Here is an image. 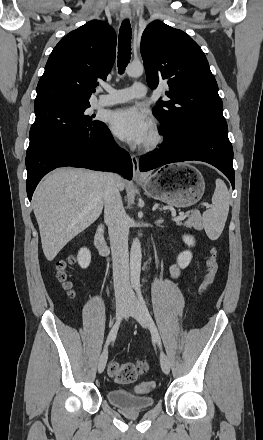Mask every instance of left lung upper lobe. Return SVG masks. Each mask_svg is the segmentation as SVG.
I'll list each match as a JSON object with an SVG mask.
<instances>
[{"label": "left lung upper lobe", "instance_id": "obj_1", "mask_svg": "<svg viewBox=\"0 0 263 440\" xmlns=\"http://www.w3.org/2000/svg\"><path fill=\"white\" fill-rule=\"evenodd\" d=\"M141 55L149 86L161 81L169 86V100L159 101L153 113L163 128L179 134L181 145L191 142L201 127L226 122L206 56L188 34L156 20L143 32Z\"/></svg>", "mask_w": 263, "mask_h": 440}]
</instances>
